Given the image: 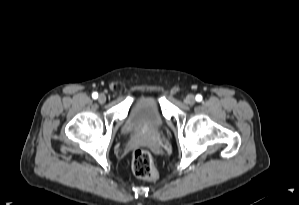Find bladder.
Masks as SVG:
<instances>
[{"label": "bladder", "instance_id": "bladder-1", "mask_svg": "<svg viewBox=\"0 0 299 205\" xmlns=\"http://www.w3.org/2000/svg\"><path fill=\"white\" fill-rule=\"evenodd\" d=\"M164 119L157 101L151 97H142L132 105L122 127L124 134H156L164 130Z\"/></svg>", "mask_w": 299, "mask_h": 205}]
</instances>
